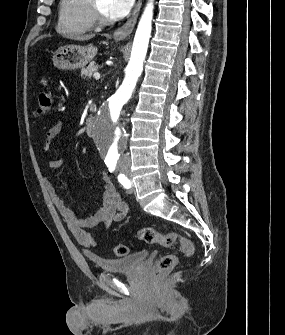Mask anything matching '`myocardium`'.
<instances>
[{
	"label": "myocardium",
	"mask_w": 285,
	"mask_h": 335,
	"mask_svg": "<svg viewBox=\"0 0 285 335\" xmlns=\"http://www.w3.org/2000/svg\"><path fill=\"white\" fill-rule=\"evenodd\" d=\"M93 18L94 25L98 28L107 27L112 23L111 19L105 15L100 1H93Z\"/></svg>",
	"instance_id": "obj_1"
}]
</instances>
